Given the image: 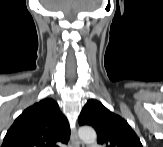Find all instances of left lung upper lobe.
Instances as JSON below:
<instances>
[{
  "instance_id": "left-lung-upper-lobe-1",
  "label": "left lung upper lobe",
  "mask_w": 163,
  "mask_h": 147,
  "mask_svg": "<svg viewBox=\"0 0 163 147\" xmlns=\"http://www.w3.org/2000/svg\"><path fill=\"white\" fill-rule=\"evenodd\" d=\"M78 121L80 125L92 126L98 134L97 143L104 147H142L127 121L97 100L86 103Z\"/></svg>"
}]
</instances>
